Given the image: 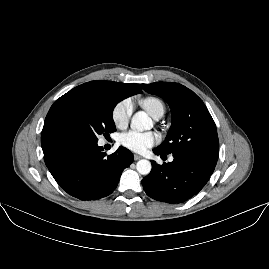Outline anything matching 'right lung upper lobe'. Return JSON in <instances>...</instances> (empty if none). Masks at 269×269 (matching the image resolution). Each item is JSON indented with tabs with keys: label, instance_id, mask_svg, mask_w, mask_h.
<instances>
[{
	"label": "right lung upper lobe",
	"instance_id": "right-lung-upper-lobe-1",
	"mask_svg": "<svg viewBox=\"0 0 269 269\" xmlns=\"http://www.w3.org/2000/svg\"><path fill=\"white\" fill-rule=\"evenodd\" d=\"M138 84H124L114 81H90L79 85L68 93H82L93 96H102L121 101L129 96L141 93Z\"/></svg>",
	"mask_w": 269,
	"mask_h": 269
}]
</instances>
